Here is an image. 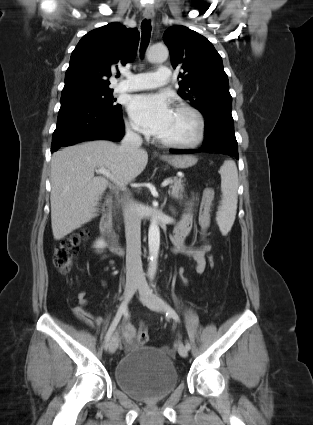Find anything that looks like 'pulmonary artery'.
Here are the masks:
<instances>
[{
    "label": "pulmonary artery",
    "mask_w": 313,
    "mask_h": 425,
    "mask_svg": "<svg viewBox=\"0 0 313 425\" xmlns=\"http://www.w3.org/2000/svg\"><path fill=\"white\" fill-rule=\"evenodd\" d=\"M171 77L172 74L168 67H159L156 72L128 74L127 80L118 83L115 90L124 92L152 89L167 84Z\"/></svg>",
    "instance_id": "e3ab8cb5"
}]
</instances>
